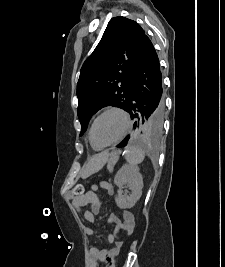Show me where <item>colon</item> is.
<instances>
[{"label": "colon", "instance_id": "1", "mask_svg": "<svg viewBox=\"0 0 225 267\" xmlns=\"http://www.w3.org/2000/svg\"><path fill=\"white\" fill-rule=\"evenodd\" d=\"M73 194L75 196H82L84 194V187L82 185H76L74 188H73ZM106 267H115V263H114V260L113 259H109L107 262H106Z\"/></svg>", "mask_w": 225, "mask_h": 267}]
</instances>
